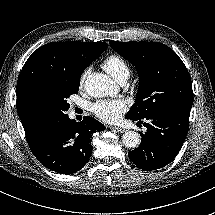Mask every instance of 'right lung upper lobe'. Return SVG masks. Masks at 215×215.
<instances>
[{"label": "right lung upper lobe", "mask_w": 215, "mask_h": 215, "mask_svg": "<svg viewBox=\"0 0 215 215\" xmlns=\"http://www.w3.org/2000/svg\"><path fill=\"white\" fill-rule=\"evenodd\" d=\"M108 47L105 42H52L43 45L27 59L17 82V110L27 141L34 139L44 125L38 123L27 106L29 93L39 86H53L62 80H79L85 68Z\"/></svg>", "instance_id": "cb5924a9"}]
</instances>
